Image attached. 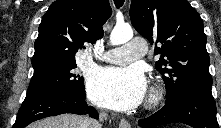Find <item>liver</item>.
Here are the masks:
<instances>
[{"instance_id":"1","label":"liver","mask_w":221,"mask_h":128,"mask_svg":"<svg viewBox=\"0 0 221 128\" xmlns=\"http://www.w3.org/2000/svg\"><path fill=\"white\" fill-rule=\"evenodd\" d=\"M86 118L75 114H61L32 123L28 128H84Z\"/></svg>"}]
</instances>
